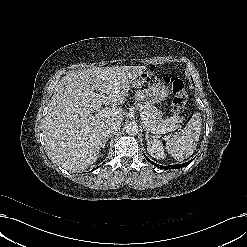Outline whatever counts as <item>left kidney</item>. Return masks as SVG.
<instances>
[{
  "instance_id": "left-kidney-1",
  "label": "left kidney",
  "mask_w": 247,
  "mask_h": 247,
  "mask_svg": "<svg viewBox=\"0 0 247 247\" xmlns=\"http://www.w3.org/2000/svg\"><path fill=\"white\" fill-rule=\"evenodd\" d=\"M147 151L155 159H165L162 142L158 139L147 140Z\"/></svg>"
}]
</instances>
